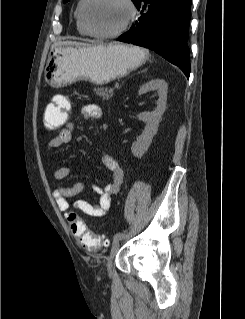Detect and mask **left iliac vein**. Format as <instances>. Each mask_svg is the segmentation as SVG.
<instances>
[{"label":"left iliac vein","mask_w":245,"mask_h":319,"mask_svg":"<svg viewBox=\"0 0 245 319\" xmlns=\"http://www.w3.org/2000/svg\"><path fill=\"white\" fill-rule=\"evenodd\" d=\"M120 240L121 239L115 240L113 242L112 247H111L110 255L108 257V262H107V270H108L109 275L112 274V261H113L114 257L116 256L117 252L119 251Z\"/></svg>","instance_id":"obj_1"}]
</instances>
